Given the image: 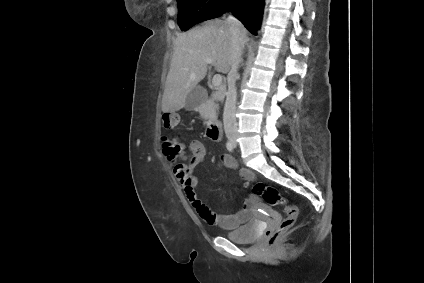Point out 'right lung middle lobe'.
Masks as SVG:
<instances>
[{"label":"right lung middle lobe","instance_id":"right-lung-middle-lobe-1","mask_svg":"<svg viewBox=\"0 0 424 283\" xmlns=\"http://www.w3.org/2000/svg\"><path fill=\"white\" fill-rule=\"evenodd\" d=\"M178 25L182 31L205 20L220 17L234 0H177Z\"/></svg>","mask_w":424,"mask_h":283}]
</instances>
